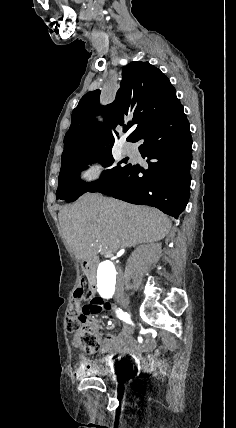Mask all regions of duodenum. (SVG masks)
<instances>
[{"label":"duodenum","instance_id":"1","mask_svg":"<svg viewBox=\"0 0 236 428\" xmlns=\"http://www.w3.org/2000/svg\"><path fill=\"white\" fill-rule=\"evenodd\" d=\"M81 267L86 274V277L89 281V286L92 292H96L97 283H96V274H95V265L92 260L85 259L81 262Z\"/></svg>","mask_w":236,"mask_h":428}]
</instances>
